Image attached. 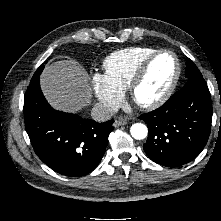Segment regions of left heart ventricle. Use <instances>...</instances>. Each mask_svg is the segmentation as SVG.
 I'll return each instance as SVG.
<instances>
[{
	"instance_id": "1",
	"label": "left heart ventricle",
	"mask_w": 221,
	"mask_h": 221,
	"mask_svg": "<svg viewBox=\"0 0 221 221\" xmlns=\"http://www.w3.org/2000/svg\"><path fill=\"white\" fill-rule=\"evenodd\" d=\"M175 74V61L170 54H161L151 64L148 73L136 92L138 101L157 98L168 87Z\"/></svg>"
}]
</instances>
